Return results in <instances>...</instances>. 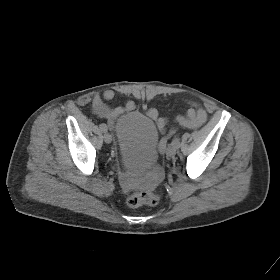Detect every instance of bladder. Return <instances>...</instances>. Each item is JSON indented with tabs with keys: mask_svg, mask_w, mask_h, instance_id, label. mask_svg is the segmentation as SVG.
Returning <instances> with one entry per match:
<instances>
[{
	"mask_svg": "<svg viewBox=\"0 0 280 280\" xmlns=\"http://www.w3.org/2000/svg\"><path fill=\"white\" fill-rule=\"evenodd\" d=\"M115 133L125 169L144 172L155 164L159 132L151 118L136 111L124 114L116 122Z\"/></svg>",
	"mask_w": 280,
	"mask_h": 280,
	"instance_id": "1",
	"label": "bladder"
}]
</instances>
